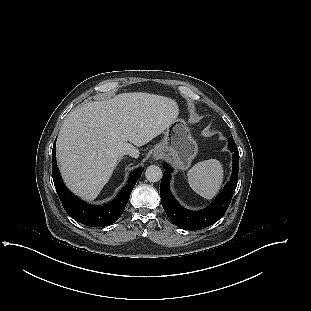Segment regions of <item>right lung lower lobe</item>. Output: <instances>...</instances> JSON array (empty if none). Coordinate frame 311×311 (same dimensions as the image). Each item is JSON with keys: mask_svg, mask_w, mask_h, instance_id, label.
I'll return each instance as SVG.
<instances>
[{"mask_svg": "<svg viewBox=\"0 0 311 311\" xmlns=\"http://www.w3.org/2000/svg\"><path fill=\"white\" fill-rule=\"evenodd\" d=\"M143 168L133 171L128 183L120 190L117 197L105 206H94L85 203L72 194L64 185L60 176L55 155V142L52 150V174L55 188L65 211L74 220L90 226L103 227L116 222L122 215L129 200L132 189L140 178Z\"/></svg>", "mask_w": 311, "mask_h": 311, "instance_id": "right-lung-lower-lobe-1", "label": "right lung lower lobe"}]
</instances>
